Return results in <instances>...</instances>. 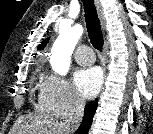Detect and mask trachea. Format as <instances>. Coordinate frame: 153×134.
Listing matches in <instances>:
<instances>
[{
    "label": "trachea",
    "instance_id": "1",
    "mask_svg": "<svg viewBox=\"0 0 153 134\" xmlns=\"http://www.w3.org/2000/svg\"><path fill=\"white\" fill-rule=\"evenodd\" d=\"M85 11V22L91 44L97 50L102 51L103 35L100 21L95 9L94 0H82Z\"/></svg>",
    "mask_w": 153,
    "mask_h": 134
}]
</instances>
